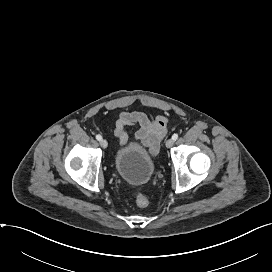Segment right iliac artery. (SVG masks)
Returning a JSON list of instances; mask_svg holds the SVG:
<instances>
[{
    "label": "right iliac artery",
    "instance_id": "obj_1",
    "mask_svg": "<svg viewBox=\"0 0 272 272\" xmlns=\"http://www.w3.org/2000/svg\"><path fill=\"white\" fill-rule=\"evenodd\" d=\"M96 139L98 140V141H100L101 139H102V136L101 135H96Z\"/></svg>",
    "mask_w": 272,
    "mask_h": 272
}]
</instances>
